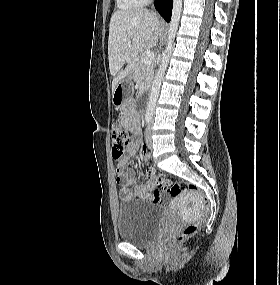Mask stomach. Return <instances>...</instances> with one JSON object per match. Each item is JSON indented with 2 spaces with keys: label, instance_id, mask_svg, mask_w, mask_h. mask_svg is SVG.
<instances>
[{
  "label": "stomach",
  "instance_id": "stomach-1",
  "mask_svg": "<svg viewBox=\"0 0 280 285\" xmlns=\"http://www.w3.org/2000/svg\"><path fill=\"white\" fill-rule=\"evenodd\" d=\"M131 86L132 78L130 76H127L117 84L112 96L114 105L119 106L127 99Z\"/></svg>",
  "mask_w": 280,
  "mask_h": 285
}]
</instances>
